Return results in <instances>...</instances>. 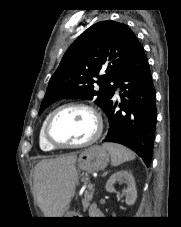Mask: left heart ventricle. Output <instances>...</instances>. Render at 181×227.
<instances>
[{"mask_svg":"<svg viewBox=\"0 0 181 227\" xmlns=\"http://www.w3.org/2000/svg\"><path fill=\"white\" fill-rule=\"evenodd\" d=\"M96 128L93 116L81 108L60 111L53 120L51 133L64 143H80L89 139Z\"/></svg>","mask_w":181,"mask_h":227,"instance_id":"b2bd125f","label":"left heart ventricle"}]
</instances>
